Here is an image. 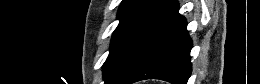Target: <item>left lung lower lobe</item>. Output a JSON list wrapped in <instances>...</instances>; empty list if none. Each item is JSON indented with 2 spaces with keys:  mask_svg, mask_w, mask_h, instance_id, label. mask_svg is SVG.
Instances as JSON below:
<instances>
[{
  "mask_svg": "<svg viewBox=\"0 0 260 84\" xmlns=\"http://www.w3.org/2000/svg\"><path fill=\"white\" fill-rule=\"evenodd\" d=\"M175 0H161L118 55L105 84L161 79L187 84L192 41Z\"/></svg>",
  "mask_w": 260,
  "mask_h": 84,
  "instance_id": "0a47b994",
  "label": "left lung lower lobe"
}]
</instances>
